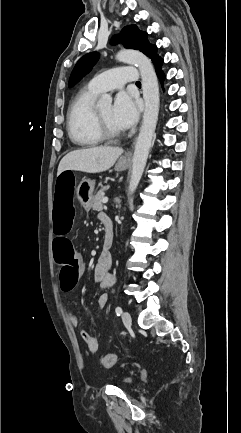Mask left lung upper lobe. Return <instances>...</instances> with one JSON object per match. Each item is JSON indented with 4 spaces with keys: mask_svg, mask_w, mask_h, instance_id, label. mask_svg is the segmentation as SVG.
I'll list each match as a JSON object with an SVG mask.
<instances>
[{
    "mask_svg": "<svg viewBox=\"0 0 241 433\" xmlns=\"http://www.w3.org/2000/svg\"><path fill=\"white\" fill-rule=\"evenodd\" d=\"M119 40H122L126 48L143 52L152 60L156 72L161 71L163 60L157 55V47L147 40L146 32L140 31L135 25H129L122 29L120 36H114L111 42L116 44ZM98 58L99 54L97 52L88 53L80 58L71 73L69 85H73L87 74Z\"/></svg>",
    "mask_w": 241,
    "mask_h": 433,
    "instance_id": "1",
    "label": "left lung upper lobe"
}]
</instances>
